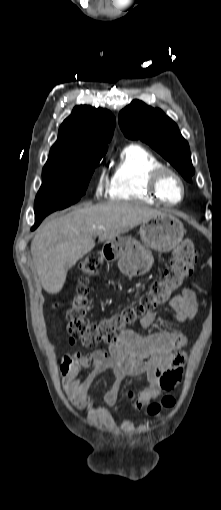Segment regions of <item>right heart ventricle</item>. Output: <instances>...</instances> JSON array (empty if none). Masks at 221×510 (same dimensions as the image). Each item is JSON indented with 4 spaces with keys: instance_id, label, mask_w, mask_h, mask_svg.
I'll return each instance as SVG.
<instances>
[{
    "instance_id": "e07e8e85",
    "label": "right heart ventricle",
    "mask_w": 221,
    "mask_h": 510,
    "mask_svg": "<svg viewBox=\"0 0 221 510\" xmlns=\"http://www.w3.org/2000/svg\"><path fill=\"white\" fill-rule=\"evenodd\" d=\"M163 165L154 153L142 145L125 146L109 178V199L156 203L148 191L147 181L150 172Z\"/></svg>"
}]
</instances>
